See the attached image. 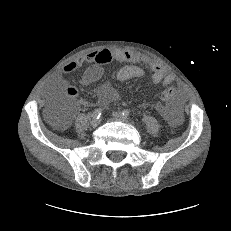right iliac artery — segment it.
<instances>
[{
  "mask_svg": "<svg viewBox=\"0 0 231 231\" xmlns=\"http://www.w3.org/2000/svg\"><path fill=\"white\" fill-rule=\"evenodd\" d=\"M101 113H102V109L101 108H97V109L94 110L92 116H93V118H97L98 119L101 116Z\"/></svg>",
  "mask_w": 231,
  "mask_h": 231,
  "instance_id": "right-iliac-artery-1",
  "label": "right iliac artery"
}]
</instances>
